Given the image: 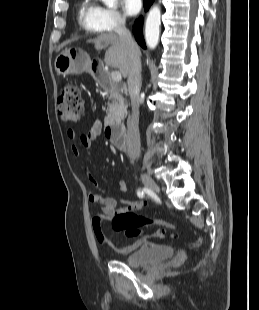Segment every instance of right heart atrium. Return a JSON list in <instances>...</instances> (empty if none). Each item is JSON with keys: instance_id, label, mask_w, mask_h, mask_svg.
Returning a JSON list of instances; mask_svg holds the SVG:
<instances>
[{"instance_id": "1", "label": "right heart atrium", "mask_w": 259, "mask_h": 310, "mask_svg": "<svg viewBox=\"0 0 259 310\" xmlns=\"http://www.w3.org/2000/svg\"><path fill=\"white\" fill-rule=\"evenodd\" d=\"M97 18L103 30L115 31L125 23V17L116 9L98 6Z\"/></svg>"}]
</instances>
